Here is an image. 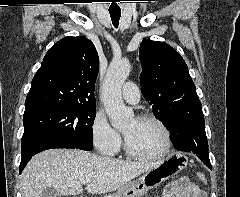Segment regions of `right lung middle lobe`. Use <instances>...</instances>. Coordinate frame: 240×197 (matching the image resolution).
<instances>
[{
    "label": "right lung middle lobe",
    "mask_w": 240,
    "mask_h": 197,
    "mask_svg": "<svg viewBox=\"0 0 240 197\" xmlns=\"http://www.w3.org/2000/svg\"><path fill=\"white\" fill-rule=\"evenodd\" d=\"M96 106H44L25 111L22 144L54 139L77 149H92V126Z\"/></svg>",
    "instance_id": "right-lung-middle-lobe-1"
}]
</instances>
